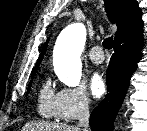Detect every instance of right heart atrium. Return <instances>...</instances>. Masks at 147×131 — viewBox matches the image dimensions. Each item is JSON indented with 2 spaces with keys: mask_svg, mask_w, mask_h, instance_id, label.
I'll return each mask as SVG.
<instances>
[{
  "mask_svg": "<svg viewBox=\"0 0 147 131\" xmlns=\"http://www.w3.org/2000/svg\"><path fill=\"white\" fill-rule=\"evenodd\" d=\"M90 103L83 86L65 87L56 94L54 115L62 122H72L89 112Z\"/></svg>",
  "mask_w": 147,
  "mask_h": 131,
  "instance_id": "d8ad5b80",
  "label": "right heart atrium"
}]
</instances>
